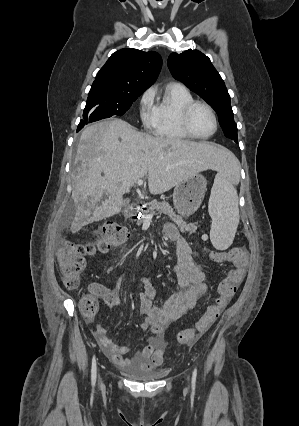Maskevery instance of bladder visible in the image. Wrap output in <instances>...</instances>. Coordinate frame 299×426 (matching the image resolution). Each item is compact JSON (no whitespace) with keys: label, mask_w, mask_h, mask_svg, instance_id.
<instances>
[{"label":"bladder","mask_w":299,"mask_h":426,"mask_svg":"<svg viewBox=\"0 0 299 426\" xmlns=\"http://www.w3.org/2000/svg\"><path fill=\"white\" fill-rule=\"evenodd\" d=\"M124 372L131 378L143 382L156 381L166 375L165 369L158 366L125 368Z\"/></svg>","instance_id":"bladder-1"}]
</instances>
